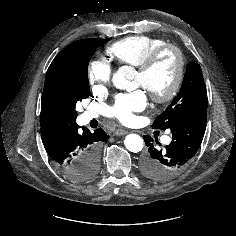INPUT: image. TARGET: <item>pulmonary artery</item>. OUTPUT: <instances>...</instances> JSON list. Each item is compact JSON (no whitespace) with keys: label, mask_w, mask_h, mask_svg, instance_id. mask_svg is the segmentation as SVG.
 <instances>
[{"label":"pulmonary artery","mask_w":236,"mask_h":236,"mask_svg":"<svg viewBox=\"0 0 236 236\" xmlns=\"http://www.w3.org/2000/svg\"><path fill=\"white\" fill-rule=\"evenodd\" d=\"M83 117H84V120H85V121H89V120H91L92 118H95V117H96V114H95V113H92V112H85L84 115H83ZM169 141H170L169 136L166 135V136L163 137V142L168 143Z\"/></svg>","instance_id":"e3ab8cb5"}]
</instances>
